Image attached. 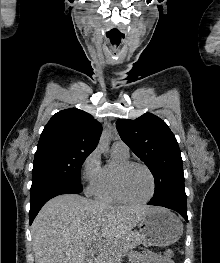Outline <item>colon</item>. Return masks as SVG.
Segmentation results:
<instances>
[{"label":"colon","instance_id":"obj_1","mask_svg":"<svg viewBox=\"0 0 220 263\" xmlns=\"http://www.w3.org/2000/svg\"><path fill=\"white\" fill-rule=\"evenodd\" d=\"M167 260L172 261L173 262V258H174V252L172 250H167L165 252V256H164Z\"/></svg>","mask_w":220,"mask_h":263}]
</instances>
